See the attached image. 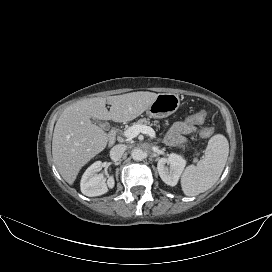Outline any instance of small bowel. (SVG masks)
<instances>
[{
    "mask_svg": "<svg viewBox=\"0 0 272 272\" xmlns=\"http://www.w3.org/2000/svg\"><path fill=\"white\" fill-rule=\"evenodd\" d=\"M196 128L188 122H176L167 133L166 141L170 145H179L186 141V136L194 133Z\"/></svg>",
    "mask_w": 272,
    "mask_h": 272,
    "instance_id": "1",
    "label": "small bowel"
}]
</instances>
